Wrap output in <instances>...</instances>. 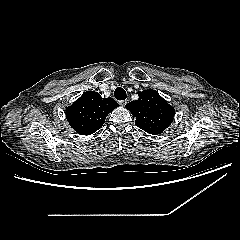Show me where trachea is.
I'll return each mask as SVG.
<instances>
[{
    "instance_id": "obj_1",
    "label": "trachea",
    "mask_w": 240,
    "mask_h": 240,
    "mask_svg": "<svg viewBox=\"0 0 240 240\" xmlns=\"http://www.w3.org/2000/svg\"><path fill=\"white\" fill-rule=\"evenodd\" d=\"M114 95L117 100H125L127 97L125 90L121 87L115 89Z\"/></svg>"
}]
</instances>
